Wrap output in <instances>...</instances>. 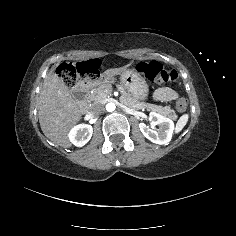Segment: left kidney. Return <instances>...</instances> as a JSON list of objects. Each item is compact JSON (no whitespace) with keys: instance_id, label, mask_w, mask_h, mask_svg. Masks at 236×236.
Here are the masks:
<instances>
[{"instance_id":"left-kidney-1","label":"left kidney","mask_w":236,"mask_h":236,"mask_svg":"<svg viewBox=\"0 0 236 236\" xmlns=\"http://www.w3.org/2000/svg\"><path fill=\"white\" fill-rule=\"evenodd\" d=\"M149 119L153 127L159 126V130H151L144 122L139 123V129L143 136L154 144L163 145L171 140L174 124L169 118L151 112Z\"/></svg>"}]
</instances>
